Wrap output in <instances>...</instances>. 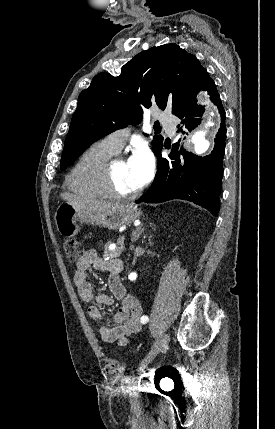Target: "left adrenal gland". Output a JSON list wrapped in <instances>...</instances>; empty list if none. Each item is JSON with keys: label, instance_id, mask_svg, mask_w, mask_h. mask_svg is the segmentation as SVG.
Returning a JSON list of instances; mask_svg holds the SVG:
<instances>
[{"label": "left adrenal gland", "instance_id": "1", "mask_svg": "<svg viewBox=\"0 0 275 429\" xmlns=\"http://www.w3.org/2000/svg\"><path fill=\"white\" fill-rule=\"evenodd\" d=\"M142 226H143V224H141L138 228H136L135 231H133L132 238H131L132 242H135L139 238L141 233L144 231V228H142Z\"/></svg>", "mask_w": 275, "mask_h": 429}]
</instances>
